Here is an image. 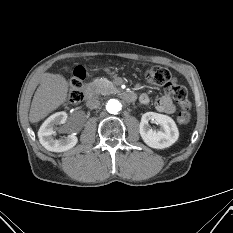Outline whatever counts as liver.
<instances>
[{
    "instance_id": "6515ba94",
    "label": "liver",
    "mask_w": 233,
    "mask_h": 233,
    "mask_svg": "<svg viewBox=\"0 0 233 233\" xmlns=\"http://www.w3.org/2000/svg\"><path fill=\"white\" fill-rule=\"evenodd\" d=\"M68 82L60 74L44 73L40 76L29 112L31 123L39 122L56 110L67 99Z\"/></svg>"
}]
</instances>
